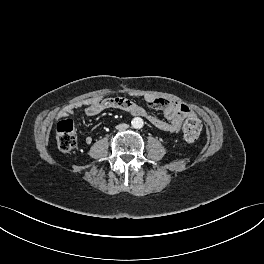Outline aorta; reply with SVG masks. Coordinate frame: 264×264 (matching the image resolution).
<instances>
[{"instance_id":"obj_1","label":"aorta","mask_w":264,"mask_h":264,"mask_svg":"<svg viewBox=\"0 0 264 264\" xmlns=\"http://www.w3.org/2000/svg\"><path fill=\"white\" fill-rule=\"evenodd\" d=\"M131 125H132V127L135 128V129H140V128L143 127V125H144V121H143V119L140 118V117H135V118L132 119V121H131Z\"/></svg>"}]
</instances>
